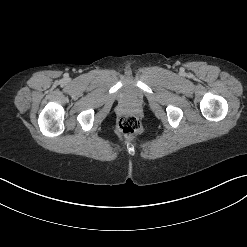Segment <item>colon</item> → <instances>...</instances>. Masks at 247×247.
Masks as SVG:
<instances>
[{
  "label": "colon",
  "mask_w": 247,
  "mask_h": 247,
  "mask_svg": "<svg viewBox=\"0 0 247 247\" xmlns=\"http://www.w3.org/2000/svg\"><path fill=\"white\" fill-rule=\"evenodd\" d=\"M117 129L123 137L131 138L140 132L141 123L136 115L127 113L119 119Z\"/></svg>",
  "instance_id": "5ec220e1"
}]
</instances>
